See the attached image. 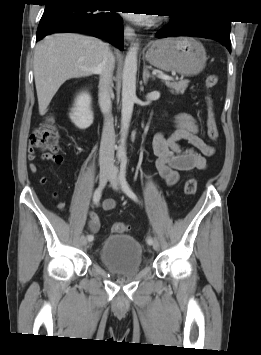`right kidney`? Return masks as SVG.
Wrapping results in <instances>:
<instances>
[{"mask_svg":"<svg viewBox=\"0 0 261 355\" xmlns=\"http://www.w3.org/2000/svg\"><path fill=\"white\" fill-rule=\"evenodd\" d=\"M92 98L89 93L81 92L75 99L69 117L79 129H86L93 123V112L91 109Z\"/></svg>","mask_w":261,"mask_h":355,"instance_id":"right-kidney-1","label":"right kidney"}]
</instances>
